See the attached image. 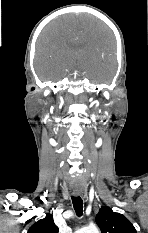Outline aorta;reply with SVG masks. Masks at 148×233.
<instances>
[{
    "mask_svg": "<svg viewBox=\"0 0 148 233\" xmlns=\"http://www.w3.org/2000/svg\"><path fill=\"white\" fill-rule=\"evenodd\" d=\"M77 233H100V232L96 226L92 225L80 229Z\"/></svg>",
    "mask_w": 148,
    "mask_h": 233,
    "instance_id": "762f6f07",
    "label": "aorta"
}]
</instances>
